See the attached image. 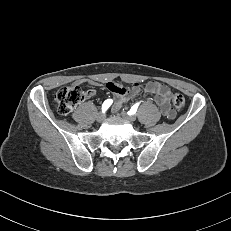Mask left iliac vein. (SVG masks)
I'll list each match as a JSON object with an SVG mask.
<instances>
[{
  "label": "left iliac vein",
  "instance_id": "4c4485c4",
  "mask_svg": "<svg viewBox=\"0 0 231 231\" xmlns=\"http://www.w3.org/2000/svg\"><path fill=\"white\" fill-rule=\"evenodd\" d=\"M121 115H122V117H123L124 119H126V120H128V121L133 122V121L136 120V116H135V115H133V114L129 115V114L126 113L125 111H122V112H121Z\"/></svg>",
  "mask_w": 231,
  "mask_h": 231
}]
</instances>
